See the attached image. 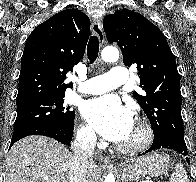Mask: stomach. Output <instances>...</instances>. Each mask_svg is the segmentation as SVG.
Instances as JSON below:
<instances>
[{
  "label": "stomach",
  "instance_id": "1",
  "mask_svg": "<svg viewBox=\"0 0 196 182\" xmlns=\"http://www.w3.org/2000/svg\"><path fill=\"white\" fill-rule=\"evenodd\" d=\"M169 158L161 153H151L126 163L121 168V177L124 182L138 181L146 175L159 176L167 172Z\"/></svg>",
  "mask_w": 196,
  "mask_h": 182
}]
</instances>
